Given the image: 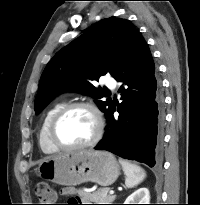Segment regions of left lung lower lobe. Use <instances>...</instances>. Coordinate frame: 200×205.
I'll return each instance as SVG.
<instances>
[{"label": "left lung lower lobe", "instance_id": "obj_1", "mask_svg": "<svg viewBox=\"0 0 200 205\" xmlns=\"http://www.w3.org/2000/svg\"><path fill=\"white\" fill-rule=\"evenodd\" d=\"M122 85L120 104L112 102L108 126L95 147L150 167L162 160L164 99L150 49L137 32L114 76ZM119 113L114 117V112Z\"/></svg>", "mask_w": 200, "mask_h": 205}]
</instances>
